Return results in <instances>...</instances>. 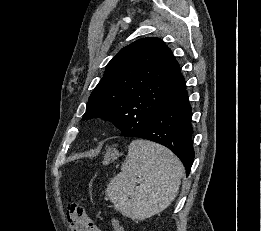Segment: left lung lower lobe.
<instances>
[{
  "instance_id": "1",
  "label": "left lung lower lobe",
  "mask_w": 261,
  "mask_h": 231,
  "mask_svg": "<svg viewBox=\"0 0 261 231\" xmlns=\"http://www.w3.org/2000/svg\"><path fill=\"white\" fill-rule=\"evenodd\" d=\"M191 119V105L185 88L155 113L145 129L124 131L120 136L148 139L164 145L179 157L189 175L194 161Z\"/></svg>"
}]
</instances>
